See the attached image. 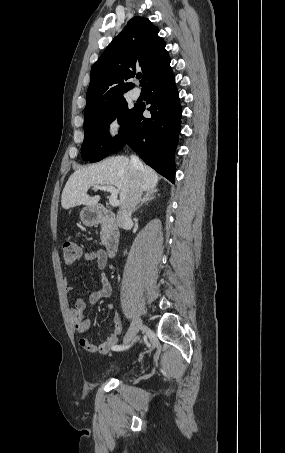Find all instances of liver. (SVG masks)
I'll return each instance as SVG.
<instances>
[{
	"mask_svg": "<svg viewBox=\"0 0 285 453\" xmlns=\"http://www.w3.org/2000/svg\"><path fill=\"white\" fill-rule=\"evenodd\" d=\"M134 168L130 160L124 156H113L100 163L76 170L68 179L61 196L63 209L73 208L81 204L88 207L96 206L100 196H89L88 189L92 185H114L120 191V206L126 200L133 179ZM142 190L155 189L158 174L149 166L143 165L139 171Z\"/></svg>",
	"mask_w": 285,
	"mask_h": 453,
	"instance_id": "liver-1",
	"label": "liver"
}]
</instances>
